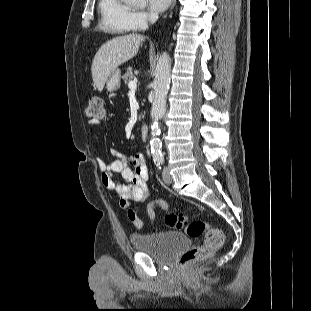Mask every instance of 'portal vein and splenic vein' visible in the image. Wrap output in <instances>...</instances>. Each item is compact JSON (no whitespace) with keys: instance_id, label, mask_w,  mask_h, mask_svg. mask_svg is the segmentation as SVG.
Segmentation results:
<instances>
[{"instance_id":"portal-vein-and-splenic-vein-1","label":"portal vein and splenic vein","mask_w":311,"mask_h":311,"mask_svg":"<svg viewBox=\"0 0 311 311\" xmlns=\"http://www.w3.org/2000/svg\"><path fill=\"white\" fill-rule=\"evenodd\" d=\"M128 87L132 90L136 89L137 88V81L136 80H131L129 83H128Z\"/></svg>"}]
</instances>
